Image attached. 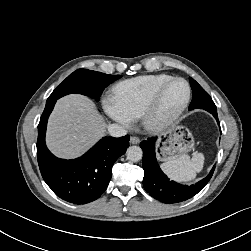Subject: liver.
I'll return each mask as SVG.
<instances>
[{
    "label": "liver",
    "mask_w": 251,
    "mask_h": 251,
    "mask_svg": "<svg viewBox=\"0 0 251 251\" xmlns=\"http://www.w3.org/2000/svg\"><path fill=\"white\" fill-rule=\"evenodd\" d=\"M107 125L86 96L71 94L59 99L47 127V145L58 157L83 154L106 131Z\"/></svg>",
    "instance_id": "1"
}]
</instances>
